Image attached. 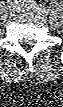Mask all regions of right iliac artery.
<instances>
[{"label": "right iliac artery", "instance_id": "1", "mask_svg": "<svg viewBox=\"0 0 63 107\" xmlns=\"http://www.w3.org/2000/svg\"><path fill=\"white\" fill-rule=\"evenodd\" d=\"M11 5H12L11 1L8 0V1H7V6H8V8H9ZM13 6H14V5H13Z\"/></svg>", "mask_w": 63, "mask_h": 107}]
</instances>
